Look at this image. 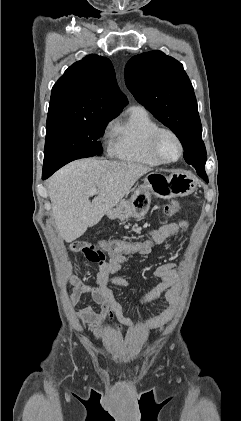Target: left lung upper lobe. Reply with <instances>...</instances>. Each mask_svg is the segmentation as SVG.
<instances>
[{
  "label": "left lung upper lobe",
  "mask_w": 241,
  "mask_h": 421,
  "mask_svg": "<svg viewBox=\"0 0 241 421\" xmlns=\"http://www.w3.org/2000/svg\"><path fill=\"white\" fill-rule=\"evenodd\" d=\"M125 82L136 100L176 134L186 162L205 167L197 102L183 65L160 51L142 53L126 64Z\"/></svg>",
  "instance_id": "left-lung-upper-lobe-1"
}]
</instances>
